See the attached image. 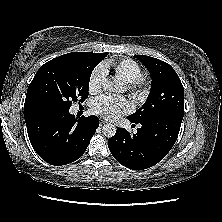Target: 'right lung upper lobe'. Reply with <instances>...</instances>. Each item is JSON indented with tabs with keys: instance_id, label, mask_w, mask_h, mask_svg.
I'll use <instances>...</instances> for the list:
<instances>
[{
	"instance_id": "right-lung-upper-lobe-1",
	"label": "right lung upper lobe",
	"mask_w": 222,
	"mask_h": 222,
	"mask_svg": "<svg viewBox=\"0 0 222 222\" xmlns=\"http://www.w3.org/2000/svg\"><path fill=\"white\" fill-rule=\"evenodd\" d=\"M33 114H36L35 111L31 110L27 105L26 103L24 104V117H25V120L27 118H29L30 116H32Z\"/></svg>"
}]
</instances>
